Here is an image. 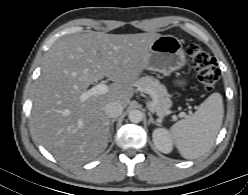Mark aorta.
Segmentation results:
<instances>
[{
    "label": "aorta",
    "instance_id": "762f6f07",
    "mask_svg": "<svg viewBox=\"0 0 248 195\" xmlns=\"http://www.w3.org/2000/svg\"><path fill=\"white\" fill-rule=\"evenodd\" d=\"M128 118L133 123H139L142 121L143 114L140 110L133 109L129 112Z\"/></svg>",
    "mask_w": 248,
    "mask_h": 195
}]
</instances>
